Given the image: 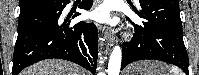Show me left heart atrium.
<instances>
[{
    "instance_id": "1",
    "label": "left heart atrium",
    "mask_w": 199,
    "mask_h": 75,
    "mask_svg": "<svg viewBox=\"0 0 199 75\" xmlns=\"http://www.w3.org/2000/svg\"><path fill=\"white\" fill-rule=\"evenodd\" d=\"M91 17L96 20L99 23L102 24H115L116 23V19L111 18L109 13H108V9L101 7L97 10H95L94 12H92Z\"/></svg>"
}]
</instances>
